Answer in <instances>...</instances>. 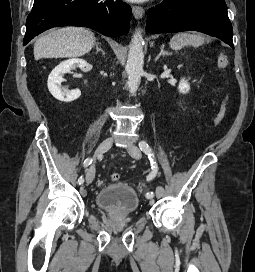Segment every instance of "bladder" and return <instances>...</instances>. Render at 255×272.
<instances>
[{
    "mask_svg": "<svg viewBox=\"0 0 255 272\" xmlns=\"http://www.w3.org/2000/svg\"><path fill=\"white\" fill-rule=\"evenodd\" d=\"M95 205L115 214L137 211L140 203L138 192L128 183L117 182L101 188L94 196Z\"/></svg>",
    "mask_w": 255,
    "mask_h": 272,
    "instance_id": "31cf9c89",
    "label": "bladder"
}]
</instances>
